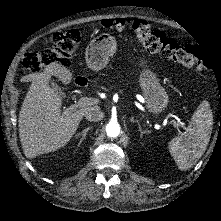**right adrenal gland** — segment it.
<instances>
[{
  "instance_id": "obj_1",
  "label": "right adrenal gland",
  "mask_w": 221,
  "mask_h": 221,
  "mask_svg": "<svg viewBox=\"0 0 221 221\" xmlns=\"http://www.w3.org/2000/svg\"><path fill=\"white\" fill-rule=\"evenodd\" d=\"M91 128H92L91 126H87L85 129L80 130V133H84V138H86V136H87V134H88V132H89V130H90ZM82 142H83V140H81V141L79 142V145H80Z\"/></svg>"
}]
</instances>
